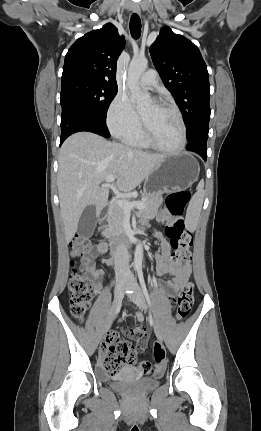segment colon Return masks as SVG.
Segmentation results:
<instances>
[{
    "label": "colon",
    "mask_w": 261,
    "mask_h": 431,
    "mask_svg": "<svg viewBox=\"0 0 261 431\" xmlns=\"http://www.w3.org/2000/svg\"><path fill=\"white\" fill-rule=\"evenodd\" d=\"M190 199V193L186 190L173 192L167 197V205L171 214L180 216ZM166 236L170 240L173 252L170 260L179 265L187 266L191 261L190 247L193 244L192 233L184 229L182 220L178 219L165 229ZM93 249L91 241L87 238L76 236L70 243V252L73 258L84 259L90 256ZM90 268L88 260H82L79 266L74 265L70 274V311L77 319H82L89 307L91 291L94 287L92 279L87 277ZM195 286L192 282L185 283L176 298L177 318L185 319L191 312L194 303ZM162 343L153 346L152 358L141 360L138 371L147 373L146 380L153 382L163 377V366L167 363V352L163 350ZM134 356L133 346L118 333H110L102 348V364L109 374H115L122 365L130 363Z\"/></svg>",
    "instance_id": "5ec220e1"
}]
</instances>
